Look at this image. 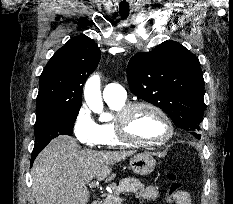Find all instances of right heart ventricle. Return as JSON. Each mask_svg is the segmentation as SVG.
Listing matches in <instances>:
<instances>
[{"label":"right heart ventricle","mask_w":233,"mask_h":204,"mask_svg":"<svg viewBox=\"0 0 233 204\" xmlns=\"http://www.w3.org/2000/svg\"><path fill=\"white\" fill-rule=\"evenodd\" d=\"M109 107L114 111L115 115L120 112V110L126 106V101H107ZM116 116L114 120L110 122H103L98 124L99 134H100V145L115 148L126 146L127 144L120 140L116 131Z\"/></svg>","instance_id":"obj_1"}]
</instances>
